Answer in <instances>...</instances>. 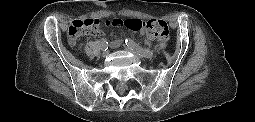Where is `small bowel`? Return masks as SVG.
<instances>
[{"label":"small bowel","mask_w":255,"mask_h":122,"mask_svg":"<svg viewBox=\"0 0 255 122\" xmlns=\"http://www.w3.org/2000/svg\"><path fill=\"white\" fill-rule=\"evenodd\" d=\"M142 34L143 35H147L146 32H144V31H142ZM95 35H101V31H99V30L96 31ZM151 40H152L151 37L147 36V41L150 42ZM118 46H119V42L118 41L113 42V47H118Z\"/></svg>","instance_id":"obj_1"}]
</instances>
